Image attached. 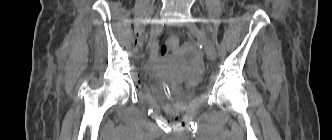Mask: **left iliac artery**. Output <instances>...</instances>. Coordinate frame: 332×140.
Segmentation results:
<instances>
[{
	"mask_svg": "<svg viewBox=\"0 0 332 140\" xmlns=\"http://www.w3.org/2000/svg\"><path fill=\"white\" fill-rule=\"evenodd\" d=\"M209 44H210L211 49L215 52V48H214V45L211 40H209Z\"/></svg>",
	"mask_w": 332,
	"mask_h": 140,
	"instance_id": "1",
	"label": "left iliac artery"
}]
</instances>
